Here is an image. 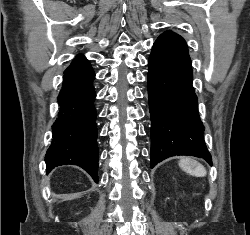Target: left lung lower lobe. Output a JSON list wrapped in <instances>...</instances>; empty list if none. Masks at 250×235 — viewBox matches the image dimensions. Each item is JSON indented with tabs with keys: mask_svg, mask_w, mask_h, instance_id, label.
<instances>
[{
	"mask_svg": "<svg viewBox=\"0 0 250 235\" xmlns=\"http://www.w3.org/2000/svg\"><path fill=\"white\" fill-rule=\"evenodd\" d=\"M148 65L151 167L175 155L203 158L212 165L203 139L185 40L172 31L164 32L153 45Z\"/></svg>",
	"mask_w": 250,
	"mask_h": 235,
	"instance_id": "0a47b994",
	"label": "left lung lower lobe"
}]
</instances>
